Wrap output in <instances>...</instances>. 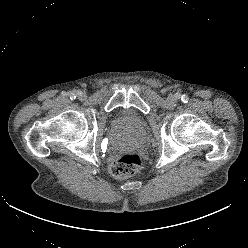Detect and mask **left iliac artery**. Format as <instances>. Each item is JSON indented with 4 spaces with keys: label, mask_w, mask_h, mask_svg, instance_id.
I'll list each match as a JSON object with an SVG mask.
<instances>
[{
    "label": "left iliac artery",
    "mask_w": 248,
    "mask_h": 248,
    "mask_svg": "<svg viewBox=\"0 0 248 248\" xmlns=\"http://www.w3.org/2000/svg\"><path fill=\"white\" fill-rule=\"evenodd\" d=\"M188 96L187 95H182V101L184 102V103H187L188 102Z\"/></svg>",
    "instance_id": "44dca946"
}]
</instances>
